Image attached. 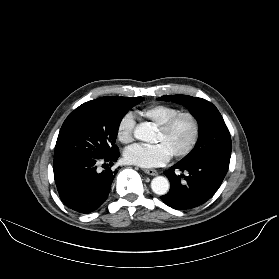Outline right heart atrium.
<instances>
[{"instance_id": "obj_1", "label": "right heart atrium", "mask_w": 279, "mask_h": 279, "mask_svg": "<svg viewBox=\"0 0 279 279\" xmlns=\"http://www.w3.org/2000/svg\"><path fill=\"white\" fill-rule=\"evenodd\" d=\"M135 124V117L131 112L122 115L116 128V135L120 142L128 144L133 141Z\"/></svg>"}]
</instances>
